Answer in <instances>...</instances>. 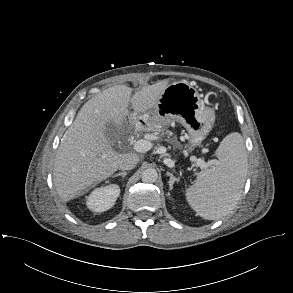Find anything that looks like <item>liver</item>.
<instances>
[{"instance_id": "6515ba94", "label": "liver", "mask_w": 293, "mask_h": 293, "mask_svg": "<svg viewBox=\"0 0 293 293\" xmlns=\"http://www.w3.org/2000/svg\"><path fill=\"white\" fill-rule=\"evenodd\" d=\"M167 86L168 81L164 80L132 95L130 87L115 85L82 106L64 133L55 158L53 181L60 199L68 202L93 184L107 179L119 169L127 155L139 161L138 155L121 154L111 147L107 124L122 128L129 114V104L133 118L140 119L154 109Z\"/></svg>"}]
</instances>
